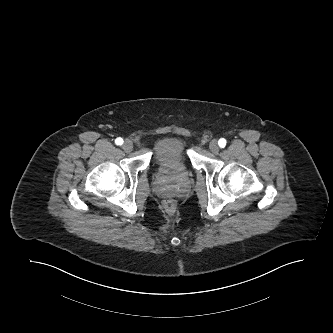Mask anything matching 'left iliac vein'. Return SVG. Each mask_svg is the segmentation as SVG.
Listing matches in <instances>:
<instances>
[{
	"mask_svg": "<svg viewBox=\"0 0 333 333\" xmlns=\"http://www.w3.org/2000/svg\"><path fill=\"white\" fill-rule=\"evenodd\" d=\"M209 149L213 154H217L219 152V145L217 140H212L209 144Z\"/></svg>",
	"mask_w": 333,
	"mask_h": 333,
	"instance_id": "4c4485c4",
	"label": "left iliac vein"
}]
</instances>
